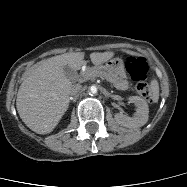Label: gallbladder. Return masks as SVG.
<instances>
[{
  "mask_svg": "<svg viewBox=\"0 0 187 187\" xmlns=\"http://www.w3.org/2000/svg\"><path fill=\"white\" fill-rule=\"evenodd\" d=\"M64 73L68 78H72L74 76V71L68 66H64Z\"/></svg>",
  "mask_w": 187,
  "mask_h": 187,
  "instance_id": "obj_1",
  "label": "gallbladder"
}]
</instances>
